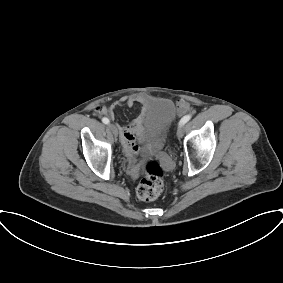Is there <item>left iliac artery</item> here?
<instances>
[{"mask_svg": "<svg viewBox=\"0 0 283 283\" xmlns=\"http://www.w3.org/2000/svg\"><path fill=\"white\" fill-rule=\"evenodd\" d=\"M190 119H191V115H186V116H184V117L180 120L179 125H180V126H181V125H184V124L187 123Z\"/></svg>", "mask_w": 283, "mask_h": 283, "instance_id": "1", "label": "left iliac artery"}]
</instances>
